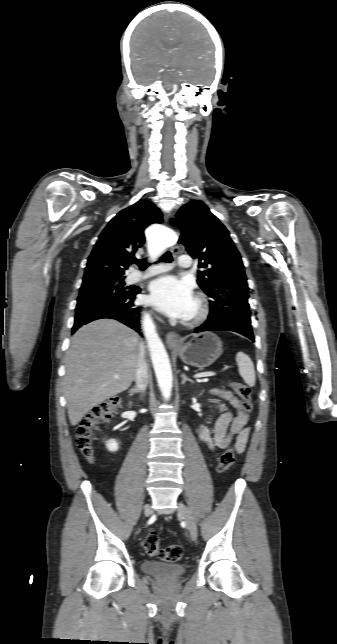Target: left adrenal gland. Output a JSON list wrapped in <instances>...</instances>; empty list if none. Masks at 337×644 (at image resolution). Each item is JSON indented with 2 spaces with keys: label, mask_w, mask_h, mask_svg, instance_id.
Masks as SVG:
<instances>
[{
  "label": "left adrenal gland",
  "mask_w": 337,
  "mask_h": 644,
  "mask_svg": "<svg viewBox=\"0 0 337 644\" xmlns=\"http://www.w3.org/2000/svg\"><path fill=\"white\" fill-rule=\"evenodd\" d=\"M181 377H182V382H181L182 385H184L187 381L191 382V383H194V381L192 379L188 378L185 373H182Z\"/></svg>",
  "instance_id": "left-adrenal-gland-1"
}]
</instances>
